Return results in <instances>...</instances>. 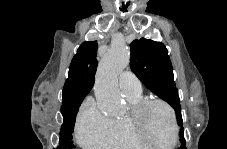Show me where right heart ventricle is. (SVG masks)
Here are the masks:
<instances>
[{"mask_svg":"<svg viewBox=\"0 0 227 149\" xmlns=\"http://www.w3.org/2000/svg\"><path fill=\"white\" fill-rule=\"evenodd\" d=\"M131 107L143 100L141 94L125 96ZM115 149H144L145 145L132 131L128 116L112 119V132L109 145Z\"/></svg>","mask_w":227,"mask_h":149,"instance_id":"obj_1","label":"right heart ventricle"}]
</instances>
